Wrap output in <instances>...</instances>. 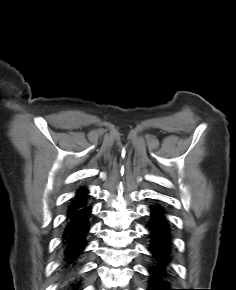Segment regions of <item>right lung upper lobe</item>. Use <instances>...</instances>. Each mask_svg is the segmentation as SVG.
Wrapping results in <instances>:
<instances>
[{"instance_id": "right-lung-upper-lobe-1", "label": "right lung upper lobe", "mask_w": 236, "mask_h": 290, "mask_svg": "<svg viewBox=\"0 0 236 290\" xmlns=\"http://www.w3.org/2000/svg\"><path fill=\"white\" fill-rule=\"evenodd\" d=\"M86 194H87V190L85 188H80L74 200L72 201L71 205L69 206V209H73L77 206L82 205L86 201V198H87Z\"/></svg>"}]
</instances>
